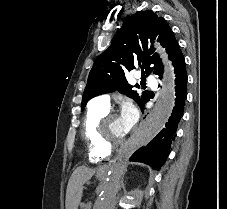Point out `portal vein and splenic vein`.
Listing matches in <instances>:
<instances>
[{
  "instance_id": "portal-vein-and-splenic-vein-1",
  "label": "portal vein and splenic vein",
  "mask_w": 227,
  "mask_h": 209,
  "mask_svg": "<svg viewBox=\"0 0 227 209\" xmlns=\"http://www.w3.org/2000/svg\"><path fill=\"white\" fill-rule=\"evenodd\" d=\"M85 209H91V203L88 201L86 204H85Z\"/></svg>"
}]
</instances>
